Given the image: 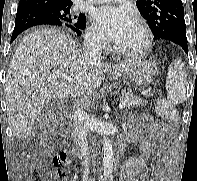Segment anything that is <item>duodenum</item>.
Segmentation results:
<instances>
[{
	"mask_svg": "<svg viewBox=\"0 0 197 181\" xmlns=\"http://www.w3.org/2000/svg\"><path fill=\"white\" fill-rule=\"evenodd\" d=\"M68 141L70 142L71 139L68 140ZM127 142H128V139H127L125 136H120V137L117 139V141H116L117 149H118L119 151L122 150V149L125 147V145L127 144Z\"/></svg>",
	"mask_w": 197,
	"mask_h": 181,
	"instance_id": "duodenum-1",
	"label": "duodenum"
}]
</instances>
